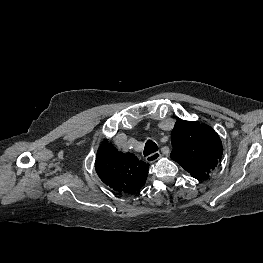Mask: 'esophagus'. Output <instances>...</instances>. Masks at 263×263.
I'll list each match as a JSON object with an SVG mask.
<instances>
[{
	"label": "esophagus",
	"instance_id": "1",
	"mask_svg": "<svg viewBox=\"0 0 263 263\" xmlns=\"http://www.w3.org/2000/svg\"><path fill=\"white\" fill-rule=\"evenodd\" d=\"M160 158H161V153H160L159 151H157V152H154V153L148 155V156L146 157V161H147L148 163H154V162H156L157 160H159Z\"/></svg>",
	"mask_w": 263,
	"mask_h": 263
}]
</instances>
